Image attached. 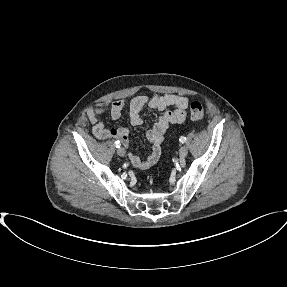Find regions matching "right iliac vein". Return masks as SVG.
Segmentation results:
<instances>
[{
    "label": "right iliac vein",
    "mask_w": 287,
    "mask_h": 287,
    "mask_svg": "<svg viewBox=\"0 0 287 287\" xmlns=\"http://www.w3.org/2000/svg\"><path fill=\"white\" fill-rule=\"evenodd\" d=\"M117 154L121 157L125 156L126 154V151L123 147H120L118 150H117Z\"/></svg>",
    "instance_id": "obj_1"
}]
</instances>
